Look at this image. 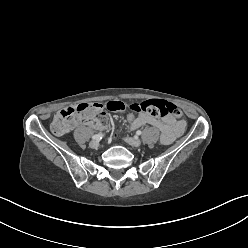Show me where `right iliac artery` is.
Listing matches in <instances>:
<instances>
[{
  "instance_id": "obj_1",
  "label": "right iliac artery",
  "mask_w": 248,
  "mask_h": 248,
  "mask_svg": "<svg viewBox=\"0 0 248 248\" xmlns=\"http://www.w3.org/2000/svg\"><path fill=\"white\" fill-rule=\"evenodd\" d=\"M103 138V134L99 133V134H95L94 136H92L93 140H101Z\"/></svg>"
}]
</instances>
